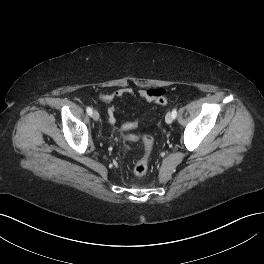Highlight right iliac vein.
<instances>
[{"label": "right iliac vein", "mask_w": 264, "mask_h": 264, "mask_svg": "<svg viewBox=\"0 0 264 264\" xmlns=\"http://www.w3.org/2000/svg\"><path fill=\"white\" fill-rule=\"evenodd\" d=\"M99 113L96 111V110H94L93 112H92V118L95 120V121H98L99 120Z\"/></svg>", "instance_id": "63e3f726"}]
</instances>
